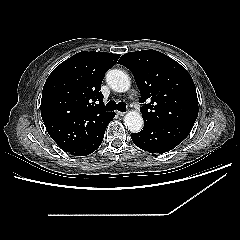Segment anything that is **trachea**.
Wrapping results in <instances>:
<instances>
[{"mask_svg": "<svg viewBox=\"0 0 240 240\" xmlns=\"http://www.w3.org/2000/svg\"><path fill=\"white\" fill-rule=\"evenodd\" d=\"M118 110L121 112H125L126 111V104L123 102H119L116 103L115 101L110 100L107 104H106V110L107 111H113V110Z\"/></svg>", "mask_w": 240, "mask_h": 240, "instance_id": "obj_1", "label": "trachea"}]
</instances>
